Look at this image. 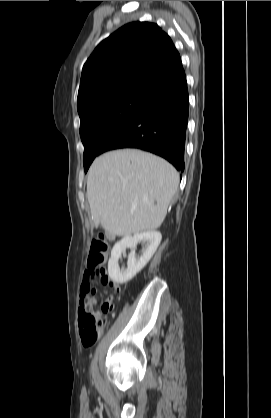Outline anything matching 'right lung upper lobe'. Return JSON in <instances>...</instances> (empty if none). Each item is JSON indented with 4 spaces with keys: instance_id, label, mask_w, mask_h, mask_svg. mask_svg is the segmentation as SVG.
<instances>
[{
    "instance_id": "right-lung-upper-lobe-1",
    "label": "right lung upper lobe",
    "mask_w": 271,
    "mask_h": 418,
    "mask_svg": "<svg viewBox=\"0 0 271 418\" xmlns=\"http://www.w3.org/2000/svg\"><path fill=\"white\" fill-rule=\"evenodd\" d=\"M183 74L178 51L158 25L127 24L103 40L84 64L78 111L122 94L152 100Z\"/></svg>"
}]
</instances>
